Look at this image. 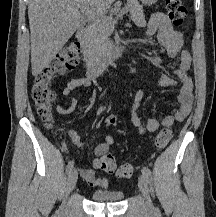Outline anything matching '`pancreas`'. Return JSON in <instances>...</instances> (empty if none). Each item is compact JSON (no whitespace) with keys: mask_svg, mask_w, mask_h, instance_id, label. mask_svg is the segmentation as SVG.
I'll use <instances>...</instances> for the list:
<instances>
[{"mask_svg":"<svg viewBox=\"0 0 216 217\" xmlns=\"http://www.w3.org/2000/svg\"><path fill=\"white\" fill-rule=\"evenodd\" d=\"M126 6L130 11L133 22L139 27H144L146 21L143 8L138 0H127ZM114 22L112 15L104 16L100 21H92L86 29L88 46L97 57L105 56L107 50L111 48L110 34L111 29L114 27Z\"/></svg>","mask_w":216,"mask_h":217,"instance_id":"1","label":"pancreas"}]
</instances>
